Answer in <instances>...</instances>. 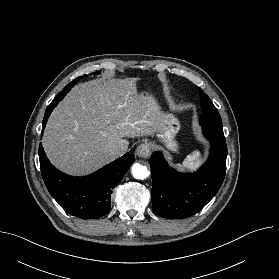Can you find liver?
<instances>
[{"instance_id":"liver-1","label":"liver","mask_w":279,"mask_h":279,"mask_svg":"<svg viewBox=\"0 0 279 279\" xmlns=\"http://www.w3.org/2000/svg\"><path fill=\"white\" fill-rule=\"evenodd\" d=\"M138 78L91 81L74 87L51 113L42 144L51 163L81 176L110 163L109 151L126 139L159 129L158 108L141 96Z\"/></svg>"}]
</instances>
